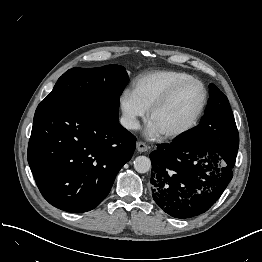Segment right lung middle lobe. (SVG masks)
<instances>
[{
	"label": "right lung middle lobe",
	"mask_w": 262,
	"mask_h": 262,
	"mask_svg": "<svg viewBox=\"0 0 262 262\" xmlns=\"http://www.w3.org/2000/svg\"><path fill=\"white\" fill-rule=\"evenodd\" d=\"M128 80L127 72L119 65L72 68L58 79L43 102L75 103L117 120L120 96Z\"/></svg>",
	"instance_id": "1"
}]
</instances>
